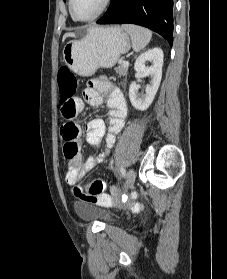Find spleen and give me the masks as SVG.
Returning a JSON list of instances; mask_svg holds the SVG:
<instances>
[{
    "label": "spleen",
    "instance_id": "1",
    "mask_svg": "<svg viewBox=\"0 0 227 279\" xmlns=\"http://www.w3.org/2000/svg\"><path fill=\"white\" fill-rule=\"evenodd\" d=\"M122 29L125 30L131 37L132 48L135 52L141 51L150 42L152 37V32L146 28L124 24Z\"/></svg>",
    "mask_w": 227,
    "mask_h": 279
}]
</instances>
